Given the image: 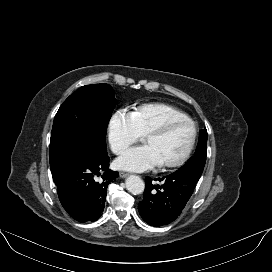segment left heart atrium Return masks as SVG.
<instances>
[{
  "instance_id": "obj_1",
  "label": "left heart atrium",
  "mask_w": 272,
  "mask_h": 272,
  "mask_svg": "<svg viewBox=\"0 0 272 272\" xmlns=\"http://www.w3.org/2000/svg\"><path fill=\"white\" fill-rule=\"evenodd\" d=\"M160 164L158 154L148 144L129 148L115 161L117 168L131 172H143Z\"/></svg>"
}]
</instances>
